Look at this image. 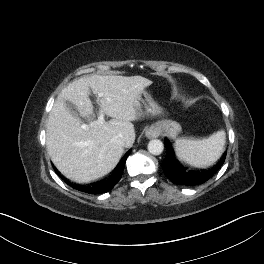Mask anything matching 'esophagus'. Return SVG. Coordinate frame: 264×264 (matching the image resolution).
I'll return each mask as SVG.
<instances>
[{
  "instance_id": "esophagus-1",
  "label": "esophagus",
  "mask_w": 264,
  "mask_h": 264,
  "mask_svg": "<svg viewBox=\"0 0 264 264\" xmlns=\"http://www.w3.org/2000/svg\"><path fill=\"white\" fill-rule=\"evenodd\" d=\"M145 135L147 138H156L159 135V132L157 128L155 127H150L149 129L146 130Z\"/></svg>"
}]
</instances>
